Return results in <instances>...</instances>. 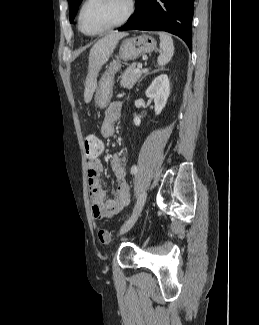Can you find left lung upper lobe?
<instances>
[{
  "label": "left lung upper lobe",
  "instance_id": "left-lung-upper-lobe-1",
  "mask_svg": "<svg viewBox=\"0 0 259 325\" xmlns=\"http://www.w3.org/2000/svg\"><path fill=\"white\" fill-rule=\"evenodd\" d=\"M82 0H68L69 2V17H70V22L74 20V17L77 13L78 7L80 5Z\"/></svg>",
  "mask_w": 259,
  "mask_h": 325
}]
</instances>
